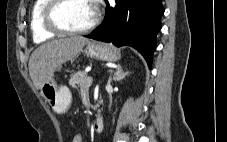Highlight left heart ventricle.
<instances>
[{
	"label": "left heart ventricle",
	"instance_id": "b2bd125f",
	"mask_svg": "<svg viewBox=\"0 0 227 142\" xmlns=\"http://www.w3.org/2000/svg\"><path fill=\"white\" fill-rule=\"evenodd\" d=\"M95 16V9L90 0H68L60 9V23L71 29L88 25Z\"/></svg>",
	"mask_w": 227,
	"mask_h": 142
}]
</instances>
